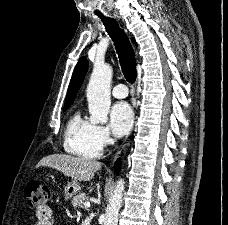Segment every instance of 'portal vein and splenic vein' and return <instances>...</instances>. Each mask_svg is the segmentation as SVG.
Wrapping results in <instances>:
<instances>
[{
    "label": "portal vein and splenic vein",
    "instance_id": "portal-vein-and-splenic-vein-1",
    "mask_svg": "<svg viewBox=\"0 0 228 225\" xmlns=\"http://www.w3.org/2000/svg\"><path fill=\"white\" fill-rule=\"evenodd\" d=\"M84 207H90V203H84Z\"/></svg>",
    "mask_w": 228,
    "mask_h": 225
}]
</instances>
